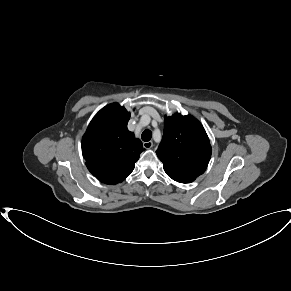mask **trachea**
Wrapping results in <instances>:
<instances>
[{"instance_id":"obj_1","label":"trachea","mask_w":291,"mask_h":291,"mask_svg":"<svg viewBox=\"0 0 291 291\" xmlns=\"http://www.w3.org/2000/svg\"><path fill=\"white\" fill-rule=\"evenodd\" d=\"M141 138L145 142L150 141L151 138H152V132L150 130H148V129L144 130L142 135H141Z\"/></svg>"}]
</instances>
